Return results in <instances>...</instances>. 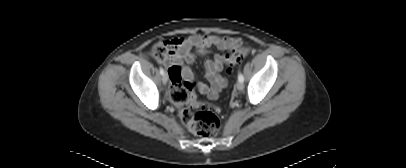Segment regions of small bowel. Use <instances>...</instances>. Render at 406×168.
Instances as JSON below:
<instances>
[{
  "instance_id": "small-bowel-1",
  "label": "small bowel",
  "mask_w": 406,
  "mask_h": 168,
  "mask_svg": "<svg viewBox=\"0 0 406 168\" xmlns=\"http://www.w3.org/2000/svg\"><path fill=\"white\" fill-rule=\"evenodd\" d=\"M169 44L171 51L169 56L163 60V63L168 66L169 69L173 66L178 67L180 69V79L191 81L193 79V73L189 64L194 62L196 53L206 55L210 52L212 47L226 52L233 51L239 47L240 41L234 37L196 34L188 38L173 39ZM225 56V54H215L212 59H208L205 62L206 78L210 86L204 83L197 85V90L211 100L217 99L221 91L227 85L226 78L220 75V72L224 68Z\"/></svg>"
}]
</instances>
